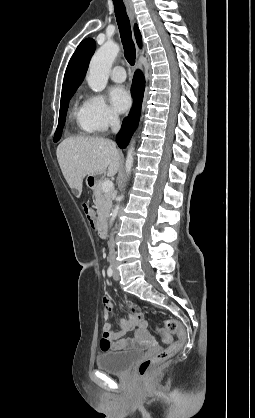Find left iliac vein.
I'll use <instances>...</instances> for the list:
<instances>
[{
  "instance_id": "1",
  "label": "left iliac vein",
  "mask_w": 255,
  "mask_h": 418,
  "mask_svg": "<svg viewBox=\"0 0 255 418\" xmlns=\"http://www.w3.org/2000/svg\"><path fill=\"white\" fill-rule=\"evenodd\" d=\"M113 279L114 280H118L119 279V272L117 270V268H114V274H113Z\"/></svg>"
}]
</instances>
